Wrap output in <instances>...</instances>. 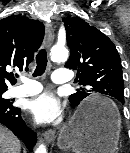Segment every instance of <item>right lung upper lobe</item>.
I'll use <instances>...</instances> for the list:
<instances>
[{"label": "right lung upper lobe", "mask_w": 130, "mask_h": 153, "mask_svg": "<svg viewBox=\"0 0 130 153\" xmlns=\"http://www.w3.org/2000/svg\"><path fill=\"white\" fill-rule=\"evenodd\" d=\"M43 37L44 25L38 20L14 15L0 20V91L16 82L9 70H28Z\"/></svg>", "instance_id": "cb5924a9"}]
</instances>
